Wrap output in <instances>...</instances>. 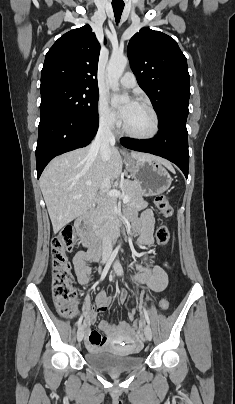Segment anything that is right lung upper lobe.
Instances as JSON below:
<instances>
[{
  "mask_svg": "<svg viewBox=\"0 0 235 404\" xmlns=\"http://www.w3.org/2000/svg\"><path fill=\"white\" fill-rule=\"evenodd\" d=\"M100 44L89 25L62 35L49 49L41 71V85L62 82L98 89Z\"/></svg>",
  "mask_w": 235,
  "mask_h": 404,
  "instance_id": "1",
  "label": "right lung upper lobe"
}]
</instances>
